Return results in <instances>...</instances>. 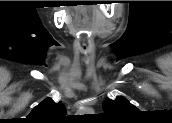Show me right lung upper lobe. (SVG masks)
Returning a JSON list of instances; mask_svg holds the SVG:
<instances>
[{"label": "right lung upper lobe", "instance_id": "right-lung-upper-lobe-1", "mask_svg": "<svg viewBox=\"0 0 172 123\" xmlns=\"http://www.w3.org/2000/svg\"><path fill=\"white\" fill-rule=\"evenodd\" d=\"M65 114L62 102H54L51 98H46L33 108L26 117V121L29 123H57L66 118Z\"/></svg>", "mask_w": 172, "mask_h": 123}]
</instances>
